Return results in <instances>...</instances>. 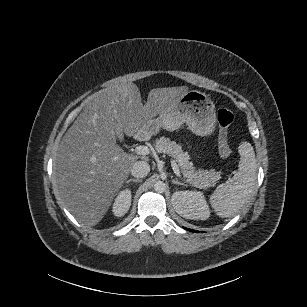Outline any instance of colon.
<instances>
[{
  "mask_svg": "<svg viewBox=\"0 0 307 307\" xmlns=\"http://www.w3.org/2000/svg\"><path fill=\"white\" fill-rule=\"evenodd\" d=\"M217 119L219 123V153L223 158H228L232 154V149L230 148L227 140L228 128L234 121L233 113L228 109H220L217 114Z\"/></svg>",
  "mask_w": 307,
  "mask_h": 307,
  "instance_id": "5ec220e1",
  "label": "colon"
}]
</instances>
